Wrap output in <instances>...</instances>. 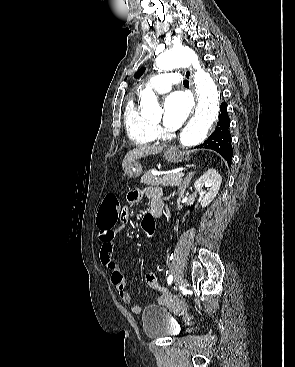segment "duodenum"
I'll return each instance as SVG.
<instances>
[{
    "label": "duodenum",
    "instance_id": "410a0bca",
    "mask_svg": "<svg viewBox=\"0 0 295 367\" xmlns=\"http://www.w3.org/2000/svg\"><path fill=\"white\" fill-rule=\"evenodd\" d=\"M163 212V201L161 200H153L150 205L149 213L153 218H157L161 216Z\"/></svg>",
    "mask_w": 295,
    "mask_h": 367
}]
</instances>
